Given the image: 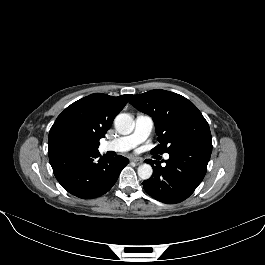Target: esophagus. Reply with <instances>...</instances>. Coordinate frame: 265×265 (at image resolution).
<instances>
[{"label": "esophagus", "instance_id": "obj_1", "mask_svg": "<svg viewBox=\"0 0 265 265\" xmlns=\"http://www.w3.org/2000/svg\"><path fill=\"white\" fill-rule=\"evenodd\" d=\"M131 162L135 163L136 165L142 164V160L140 159H132Z\"/></svg>", "mask_w": 265, "mask_h": 265}]
</instances>
